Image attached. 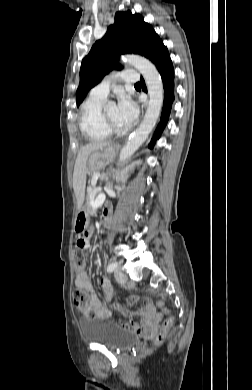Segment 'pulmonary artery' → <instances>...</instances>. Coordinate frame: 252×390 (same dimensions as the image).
I'll list each match as a JSON object with an SVG mask.
<instances>
[{
	"instance_id": "pulmonary-artery-1",
	"label": "pulmonary artery",
	"mask_w": 252,
	"mask_h": 390,
	"mask_svg": "<svg viewBox=\"0 0 252 390\" xmlns=\"http://www.w3.org/2000/svg\"><path fill=\"white\" fill-rule=\"evenodd\" d=\"M120 75L126 82H137L139 80V75L133 70H123ZM110 86L111 78L107 77L91 89L90 95L105 99L109 93Z\"/></svg>"
}]
</instances>
